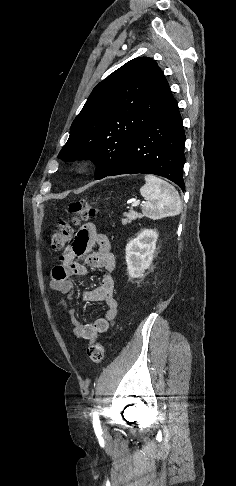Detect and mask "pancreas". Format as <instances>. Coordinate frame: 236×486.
I'll use <instances>...</instances> for the list:
<instances>
[{
    "label": "pancreas",
    "mask_w": 236,
    "mask_h": 486,
    "mask_svg": "<svg viewBox=\"0 0 236 486\" xmlns=\"http://www.w3.org/2000/svg\"><path fill=\"white\" fill-rule=\"evenodd\" d=\"M125 218L122 219V224L126 225L128 223H131L133 220L140 219L142 218V215L140 213H137L133 210L129 211L128 213H125Z\"/></svg>",
    "instance_id": "pancreas-1"
}]
</instances>
